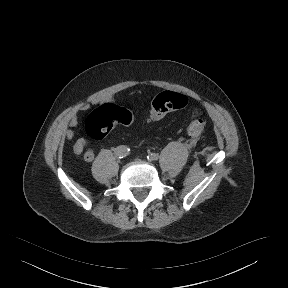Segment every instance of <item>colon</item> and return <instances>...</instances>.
<instances>
[{
    "label": "colon",
    "instance_id": "5ec220e1",
    "mask_svg": "<svg viewBox=\"0 0 288 288\" xmlns=\"http://www.w3.org/2000/svg\"><path fill=\"white\" fill-rule=\"evenodd\" d=\"M186 105L185 97L180 93H164L159 95L151 104L149 117L151 121H159L168 113L180 110ZM133 115L126 109L118 106L103 104L95 108L87 117L85 129L87 135L95 140H103L115 124H131ZM205 128V120L201 118L197 111H193L192 119L187 126V133L192 137L199 136ZM94 158L93 151L84 152L83 159Z\"/></svg>",
    "mask_w": 288,
    "mask_h": 288
}]
</instances>
